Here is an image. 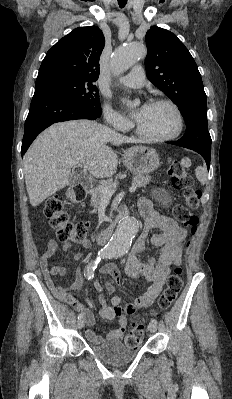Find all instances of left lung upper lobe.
Instances as JSON below:
<instances>
[{
    "mask_svg": "<svg viewBox=\"0 0 232 399\" xmlns=\"http://www.w3.org/2000/svg\"><path fill=\"white\" fill-rule=\"evenodd\" d=\"M148 79L179 108L186 131L178 143L211 151L207 98L197 65L185 45L172 32L152 26L146 33Z\"/></svg>",
    "mask_w": 232,
    "mask_h": 399,
    "instance_id": "1",
    "label": "left lung upper lobe"
}]
</instances>
